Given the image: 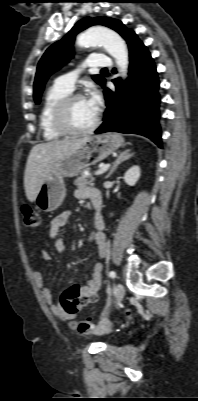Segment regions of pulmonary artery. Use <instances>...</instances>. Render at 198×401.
<instances>
[{
  "label": "pulmonary artery",
  "instance_id": "obj_1",
  "mask_svg": "<svg viewBox=\"0 0 198 401\" xmlns=\"http://www.w3.org/2000/svg\"><path fill=\"white\" fill-rule=\"evenodd\" d=\"M111 65H112V63L109 58L102 56V55H92L87 59V61L83 65V67L106 68ZM76 77H77V75L75 72H69L65 75L58 77L55 81V84L65 90L71 92L74 88V83H75Z\"/></svg>",
  "mask_w": 198,
  "mask_h": 401
}]
</instances>
